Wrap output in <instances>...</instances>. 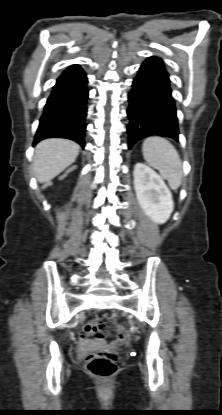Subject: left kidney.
<instances>
[{
  "label": "left kidney",
  "instance_id": "left-kidney-1",
  "mask_svg": "<svg viewBox=\"0 0 222 415\" xmlns=\"http://www.w3.org/2000/svg\"><path fill=\"white\" fill-rule=\"evenodd\" d=\"M133 176L137 200L144 213L157 224L165 223L174 209V202L163 179L142 163L135 165Z\"/></svg>",
  "mask_w": 222,
  "mask_h": 415
}]
</instances>
